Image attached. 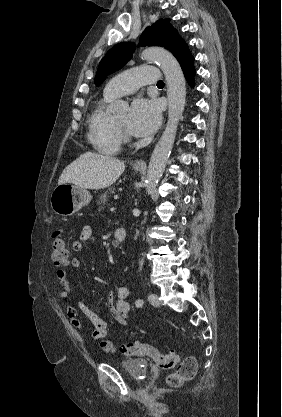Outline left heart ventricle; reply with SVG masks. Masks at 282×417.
Instances as JSON below:
<instances>
[{
	"label": "left heart ventricle",
	"instance_id": "obj_1",
	"mask_svg": "<svg viewBox=\"0 0 282 417\" xmlns=\"http://www.w3.org/2000/svg\"><path fill=\"white\" fill-rule=\"evenodd\" d=\"M115 121L118 125L125 129L126 127V120H127V112H122L114 116Z\"/></svg>",
	"mask_w": 282,
	"mask_h": 417
}]
</instances>
